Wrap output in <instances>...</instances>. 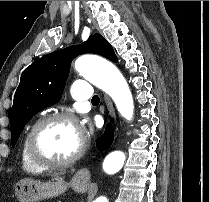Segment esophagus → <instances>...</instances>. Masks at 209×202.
<instances>
[{
    "instance_id": "1",
    "label": "esophagus",
    "mask_w": 209,
    "mask_h": 202,
    "mask_svg": "<svg viewBox=\"0 0 209 202\" xmlns=\"http://www.w3.org/2000/svg\"><path fill=\"white\" fill-rule=\"evenodd\" d=\"M104 100H105V103H106V107H107V110H108L109 117L112 120L115 121V111H114V108H113V105H112V102H111L110 98L107 95H104ZM76 176L78 178L89 181L90 180V171H89L88 168L83 167V168H81L77 171Z\"/></svg>"
}]
</instances>
